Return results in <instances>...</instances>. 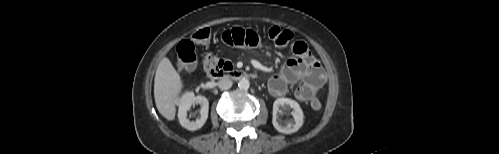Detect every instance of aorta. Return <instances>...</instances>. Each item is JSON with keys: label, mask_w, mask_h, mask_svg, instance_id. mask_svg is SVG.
<instances>
[{"label": "aorta", "mask_w": 499, "mask_h": 154, "mask_svg": "<svg viewBox=\"0 0 499 154\" xmlns=\"http://www.w3.org/2000/svg\"><path fill=\"white\" fill-rule=\"evenodd\" d=\"M250 86V82L248 79H241L238 83V87L241 90H247Z\"/></svg>", "instance_id": "aorta-1"}]
</instances>
